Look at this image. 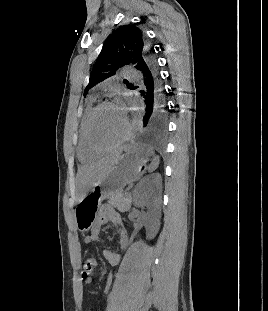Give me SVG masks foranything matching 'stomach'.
<instances>
[{"mask_svg": "<svg viewBox=\"0 0 268 311\" xmlns=\"http://www.w3.org/2000/svg\"><path fill=\"white\" fill-rule=\"evenodd\" d=\"M149 152L137 146H128L120 153L106 175L98 181L77 204L74 217L76 228L88 232L94 224L101 202L139 180L141 168L146 164Z\"/></svg>", "mask_w": 268, "mask_h": 311, "instance_id": "stomach-1", "label": "stomach"}]
</instances>
